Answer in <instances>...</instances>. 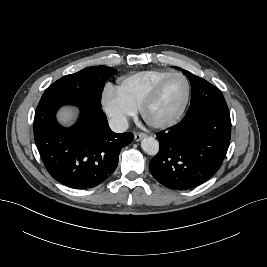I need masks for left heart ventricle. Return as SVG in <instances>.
<instances>
[{
    "instance_id": "1",
    "label": "left heart ventricle",
    "mask_w": 267,
    "mask_h": 267,
    "mask_svg": "<svg viewBox=\"0 0 267 267\" xmlns=\"http://www.w3.org/2000/svg\"><path fill=\"white\" fill-rule=\"evenodd\" d=\"M185 95V81L180 77L172 78L165 84L158 99L148 110V119L159 122L171 118L180 109Z\"/></svg>"
}]
</instances>
